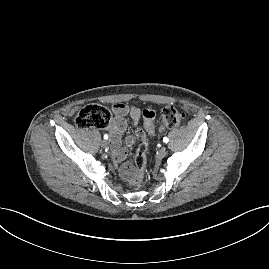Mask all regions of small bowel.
Masks as SVG:
<instances>
[{
	"instance_id": "obj_1",
	"label": "small bowel",
	"mask_w": 269,
	"mask_h": 269,
	"mask_svg": "<svg viewBox=\"0 0 269 269\" xmlns=\"http://www.w3.org/2000/svg\"><path fill=\"white\" fill-rule=\"evenodd\" d=\"M112 109L114 119L112 124L109 126L110 145L113 161L115 165H118L124 161L128 154V150L121 146V136L127 127V117L130 118L133 125H136L141 117V110L136 106H129L123 103L114 104ZM134 143L135 139L132 135H128L125 138V144L127 147H132ZM134 171V167L130 164H124L120 169L121 176L127 181L131 180V176Z\"/></svg>"
}]
</instances>
